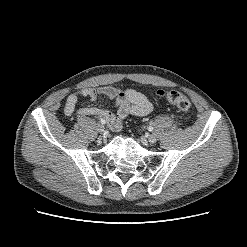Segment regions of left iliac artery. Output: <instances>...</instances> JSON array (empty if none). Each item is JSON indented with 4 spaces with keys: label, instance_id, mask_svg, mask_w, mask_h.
<instances>
[{
    "label": "left iliac artery",
    "instance_id": "1",
    "mask_svg": "<svg viewBox=\"0 0 247 247\" xmlns=\"http://www.w3.org/2000/svg\"><path fill=\"white\" fill-rule=\"evenodd\" d=\"M148 130H149V131H152V130H153V127H152V126H149V127H148Z\"/></svg>",
    "mask_w": 247,
    "mask_h": 247
}]
</instances>
